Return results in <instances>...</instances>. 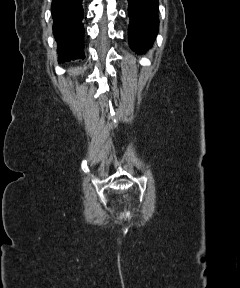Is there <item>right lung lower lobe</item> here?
Wrapping results in <instances>:
<instances>
[{"label": "right lung lower lobe", "instance_id": "obj_1", "mask_svg": "<svg viewBox=\"0 0 240 288\" xmlns=\"http://www.w3.org/2000/svg\"><path fill=\"white\" fill-rule=\"evenodd\" d=\"M51 11L60 62L84 59L82 0H53Z\"/></svg>", "mask_w": 240, "mask_h": 288}]
</instances>
